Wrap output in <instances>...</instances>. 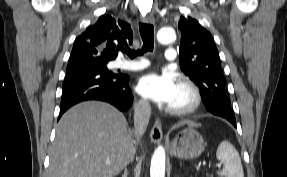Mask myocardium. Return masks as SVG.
<instances>
[{
    "label": "myocardium",
    "instance_id": "f54148a6",
    "mask_svg": "<svg viewBox=\"0 0 287 177\" xmlns=\"http://www.w3.org/2000/svg\"><path fill=\"white\" fill-rule=\"evenodd\" d=\"M178 87L187 95L186 103L179 106H167V112L172 115H185L195 111L201 104L202 96L199 88L190 80L182 79Z\"/></svg>",
    "mask_w": 287,
    "mask_h": 177
}]
</instances>
